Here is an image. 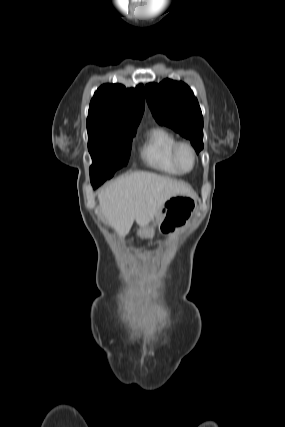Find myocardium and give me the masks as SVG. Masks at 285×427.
<instances>
[{"mask_svg":"<svg viewBox=\"0 0 285 427\" xmlns=\"http://www.w3.org/2000/svg\"><path fill=\"white\" fill-rule=\"evenodd\" d=\"M182 147H187L191 151L192 156H193V165H192L191 169H189V170L182 169V167L180 166V163H179L178 154H179V150ZM171 160H172L173 165L177 168V170L181 174L190 173V172H192L195 169L196 164H197L198 156H197L196 149L188 141H177L175 143V145L173 146L172 151H171Z\"/></svg>","mask_w":285,"mask_h":427,"instance_id":"myocardium-1","label":"myocardium"}]
</instances>
